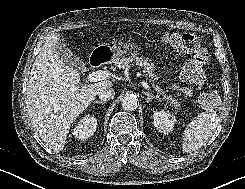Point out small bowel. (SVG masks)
I'll use <instances>...</instances> for the list:
<instances>
[{"label":"small bowel","mask_w":245,"mask_h":189,"mask_svg":"<svg viewBox=\"0 0 245 189\" xmlns=\"http://www.w3.org/2000/svg\"><path fill=\"white\" fill-rule=\"evenodd\" d=\"M203 85H204V81L202 80L201 82H199V83L197 84L196 90L202 89ZM173 88H174V87H173ZM183 92H184L185 94H187V95H192V94L194 93V90H193V89H184Z\"/></svg>","instance_id":"small-bowel-1"}]
</instances>
